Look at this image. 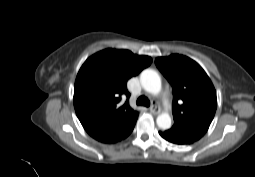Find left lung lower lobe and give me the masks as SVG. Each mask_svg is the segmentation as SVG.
I'll use <instances>...</instances> for the list:
<instances>
[{
	"label": "left lung lower lobe",
	"mask_w": 255,
	"mask_h": 177,
	"mask_svg": "<svg viewBox=\"0 0 255 177\" xmlns=\"http://www.w3.org/2000/svg\"><path fill=\"white\" fill-rule=\"evenodd\" d=\"M159 134L162 138L174 144H191L192 143L188 139L181 137L179 135H176L169 130L163 131V132L160 131Z\"/></svg>",
	"instance_id": "1"
}]
</instances>
